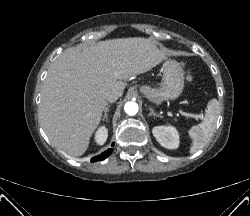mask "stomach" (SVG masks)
I'll use <instances>...</instances> for the list:
<instances>
[{"label": "stomach", "mask_w": 250, "mask_h": 216, "mask_svg": "<svg viewBox=\"0 0 250 216\" xmlns=\"http://www.w3.org/2000/svg\"><path fill=\"white\" fill-rule=\"evenodd\" d=\"M163 79L158 87L142 85L141 93L157 105L180 96L184 88L183 69L175 60H166L162 67Z\"/></svg>", "instance_id": "1"}]
</instances>
